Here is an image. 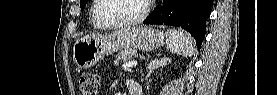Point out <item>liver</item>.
<instances>
[{
  "instance_id": "obj_1",
  "label": "liver",
  "mask_w": 277,
  "mask_h": 95,
  "mask_svg": "<svg viewBox=\"0 0 277 95\" xmlns=\"http://www.w3.org/2000/svg\"><path fill=\"white\" fill-rule=\"evenodd\" d=\"M96 36H99V35H90V37H96Z\"/></svg>"
}]
</instances>
